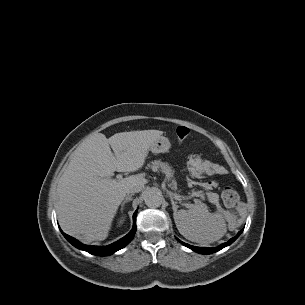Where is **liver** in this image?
Instances as JSON below:
<instances>
[{
    "label": "liver",
    "mask_w": 305,
    "mask_h": 305,
    "mask_svg": "<svg viewBox=\"0 0 305 305\" xmlns=\"http://www.w3.org/2000/svg\"><path fill=\"white\" fill-rule=\"evenodd\" d=\"M162 134L142 130L116 133L109 139L102 133L87 137L75 150L57 188L56 212L64 232L86 243L104 240L127 189L148 182L138 175L120 180L110 176L142 168L151 144Z\"/></svg>",
    "instance_id": "liver-1"
}]
</instances>
